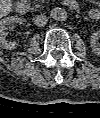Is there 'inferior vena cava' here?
Wrapping results in <instances>:
<instances>
[{"label": "inferior vena cava", "instance_id": "obj_1", "mask_svg": "<svg viewBox=\"0 0 100 118\" xmlns=\"http://www.w3.org/2000/svg\"><path fill=\"white\" fill-rule=\"evenodd\" d=\"M33 20L36 26H44L46 25L48 18L45 15L40 14L36 15Z\"/></svg>", "mask_w": 100, "mask_h": 118}]
</instances>
